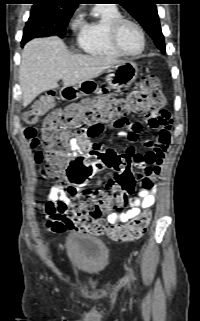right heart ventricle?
I'll list each match as a JSON object with an SVG mask.
<instances>
[{"mask_svg":"<svg viewBox=\"0 0 200 321\" xmlns=\"http://www.w3.org/2000/svg\"><path fill=\"white\" fill-rule=\"evenodd\" d=\"M122 13L114 5L101 4L94 7L91 17L81 26L77 44L85 53L105 58H120L122 55L111 45L110 27L122 18Z\"/></svg>","mask_w":200,"mask_h":321,"instance_id":"obj_1","label":"right heart ventricle"}]
</instances>
